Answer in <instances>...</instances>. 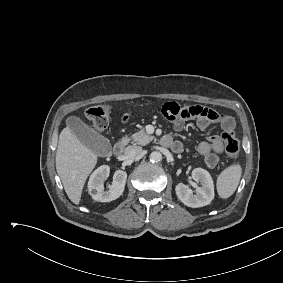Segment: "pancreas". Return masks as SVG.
Returning a JSON list of instances; mask_svg holds the SVG:
<instances>
[{
  "label": "pancreas",
  "mask_w": 283,
  "mask_h": 283,
  "mask_svg": "<svg viewBox=\"0 0 283 283\" xmlns=\"http://www.w3.org/2000/svg\"><path fill=\"white\" fill-rule=\"evenodd\" d=\"M130 140L138 145H146L153 140V136L147 134L146 131L142 128L130 137L123 139L124 143H128Z\"/></svg>",
  "instance_id": "obj_1"
}]
</instances>
